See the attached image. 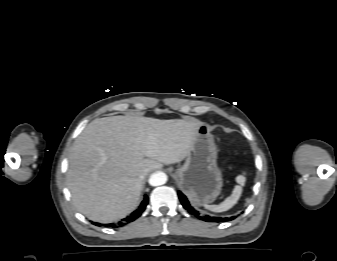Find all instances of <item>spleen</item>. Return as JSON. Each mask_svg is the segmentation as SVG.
Instances as JSON below:
<instances>
[{
    "instance_id": "1",
    "label": "spleen",
    "mask_w": 337,
    "mask_h": 261,
    "mask_svg": "<svg viewBox=\"0 0 337 261\" xmlns=\"http://www.w3.org/2000/svg\"><path fill=\"white\" fill-rule=\"evenodd\" d=\"M245 181L246 178L244 175H238L236 177V182L239 185L234 187L232 194L229 197H227L222 203L218 205L205 204L204 207L213 212H224L232 208L237 203L242 194V186L245 184Z\"/></svg>"
}]
</instances>
